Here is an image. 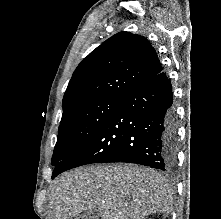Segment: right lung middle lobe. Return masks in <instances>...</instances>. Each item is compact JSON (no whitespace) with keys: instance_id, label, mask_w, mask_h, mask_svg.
<instances>
[{"instance_id":"obj_1","label":"right lung middle lobe","mask_w":221,"mask_h":219,"mask_svg":"<svg viewBox=\"0 0 221 219\" xmlns=\"http://www.w3.org/2000/svg\"><path fill=\"white\" fill-rule=\"evenodd\" d=\"M120 101L121 98H101L77 104L66 110L60 122L52 165L56 166L91 139Z\"/></svg>"}]
</instances>
